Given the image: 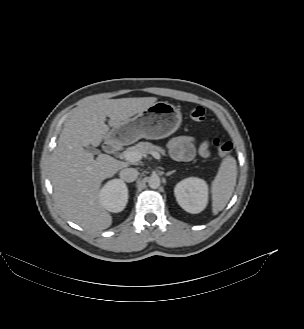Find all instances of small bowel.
<instances>
[{"instance_id":"obj_1","label":"small bowel","mask_w":304,"mask_h":329,"mask_svg":"<svg viewBox=\"0 0 304 329\" xmlns=\"http://www.w3.org/2000/svg\"><path fill=\"white\" fill-rule=\"evenodd\" d=\"M169 151L173 159L182 162L191 161L197 154L202 158L210 156L208 141H203L196 146L195 139L189 136L172 140L169 143Z\"/></svg>"}]
</instances>
